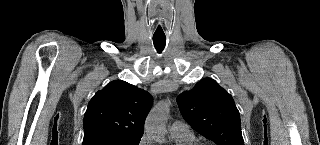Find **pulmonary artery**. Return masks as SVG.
Masks as SVG:
<instances>
[{
  "mask_svg": "<svg viewBox=\"0 0 320 145\" xmlns=\"http://www.w3.org/2000/svg\"><path fill=\"white\" fill-rule=\"evenodd\" d=\"M170 134H189L192 133L187 123L182 121H174L169 126Z\"/></svg>",
  "mask_w": 320,
  "mask_h": 145,
  "instance_id": "e3ab8cb5",
  "label": "pulmonary artery"
}]
</instances>
